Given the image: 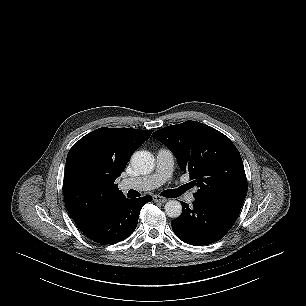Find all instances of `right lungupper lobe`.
Segmentation results:
<instances>
[{"label":"right lung upper lobe","instance_id":"cb5924a9","mask_svg":"<svg viewBox=\"0 0 306 306\" xmlns=\"http://www.w3.org/2000/svg\"><path fill=\"white\" fill-rule=\"evenodd\" d=\"M152 130L99 128L82 137L70 149L64 174V200L81 228L125 199L115 183L131 154Z\"/></svg>","mask_w":306,"mask_h":306}]
</instances>
